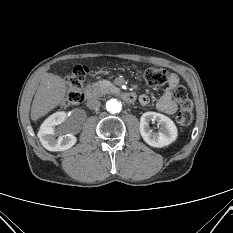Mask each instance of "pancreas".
Returning a JSON list of instances; mask_svg holds the SVG:
<instances>
[{
    "label": "pancreas",
    "mask_w": 233,
    "mask_h": 233,
    "mask_svg": "<svg viewBox=\"0 0 233 233\" xmlns=\"http://www.w3.org/2000/svg\"><path fill=\"white\" fill-rule=\"evenodd\" d=\"M116 90L114 84L110 81L102 79L89 86L87 92L92 91L95 94H109Z\"/></svg>",
    "instance_id": "cf45deb5"
}]
</instances>
